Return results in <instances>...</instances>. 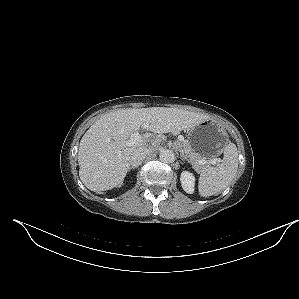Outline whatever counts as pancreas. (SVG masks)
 <instances>
[{"label":"pancreas","mask_w":299,"mask_h":299,"mask_svg":"<svg viewBox=\"0 0 299 299\" xmlns=\"http://www.w3.org/2000/svg\"><path fill=\"white\" fill-rule=\"evenodd\" d=\"M180 147L182 148V150L185 153L186 158L188 159L189 162L192 163L194 168H196L197 170L203 168V165H199V161L203 160V158H201V156L197 152L194 151V149L190 146V144L187 140L182 141L180 144Z\"/></svg>","instance_id":"obj_1"}]
</instances>
